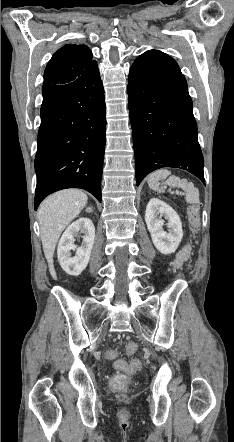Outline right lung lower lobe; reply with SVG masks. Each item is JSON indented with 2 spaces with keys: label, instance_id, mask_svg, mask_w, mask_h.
I'll return each mask as SVG.
<instances>
[{
  "label": "right lung lower lobe",
  "instance_id": "obj_1",
  "mask_svg": "<svg viewBox=\"0 0 234 442\" xmlns=\"http://www.w3.org/2000/svg\"><path fill=\"white\" fill-rule=\"evenodd\" d=\"M35 157V210L49 194L81 188L101 202L106 105L98 66L66 84L42 88Z\"/></svg>",
  "mask_w": 234,
  "mask_h": 442
}]
</instances>
